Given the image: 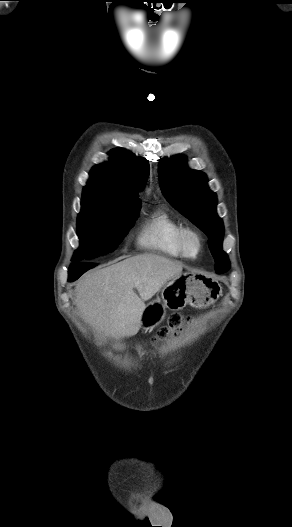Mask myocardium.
<instances>
[{"instance_id": "1", "label": "myocardium", "mask_w": 292, "mask_h": 527, "mask_svg": "<svg viewBox=\"0 0 292 527\" xmlns=\"http://www.w3.org/2000/svg\"><path fill=\"white\" fill-rule=\"evenodd\" d=\"M194 239L196 242V250L191 252L189 249V241ZM178 244L180 250L185 258L194 260L197 259L202 253L204 247V239L202 234L195 228L184 226L178 236Z\"/></svg>"}]
</instances>
